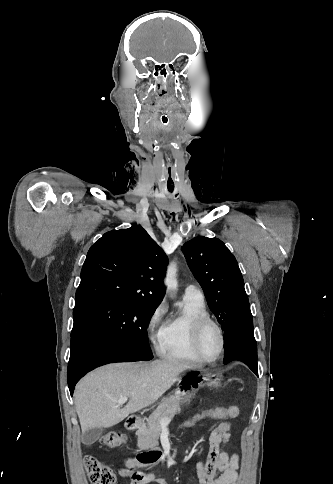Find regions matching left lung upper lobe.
Here are the masks:
<instances>
[{
    "mask_svg": "<svg viewBox=\"0 0 333 484\" xmlns=\"http://www.w3.org/2000/svg\"><path fill=\"white\" fill-rule=\"evenodd\" d=\"M187 263L222 325L226 339L234 323L250 312L244 281L234 255L217 238L195 237L182 247Z\"/></svg>",
    "mask_w": 333,
    "mask_h": 484,
    "instance_id": "left-lung-upper-lobe-1",
    "label": "left lung upper lobe"
}]
</instances>
